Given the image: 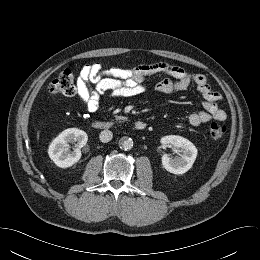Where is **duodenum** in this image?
Instances as JSON below:
<instances>
[{
	"label": "duodenum",
	"mask_w": 260,
	"mask_h": 260,
	"mask_svg": "<svg viewBox=\"0 0 260 260\" xmlns=\"http://www.w3.org/2000/svg\"><path fill=\"white\" fill-rule=\"evenodd\" d=\"M93 127L97 130H107L114 127V124L110 121L95 120L92 123ZM134 128L138 131H143L146 128V123L137 121L134 123Z\"/></svg>",
	"instance_id": "obj_1"
}]
</instances>
